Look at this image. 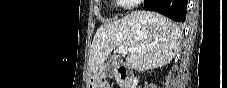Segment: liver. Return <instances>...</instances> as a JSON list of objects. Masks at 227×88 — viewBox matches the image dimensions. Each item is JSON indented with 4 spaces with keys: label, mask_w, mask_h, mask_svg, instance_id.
<instances>
[{
    "label": "liver",
    "mask_w": 227,
    "mask_h": 88,
    "mask_svg": "<svg viewBox=\"0 0 227 88\" xmlns=\"http://www.w3.org/2000/svg\"><path fill=\"white\" fill-rule=\"evenodd\" d=\"M182 39L181 27L167 17L135 11L102 25L90 46L89 66L103 65L116 47H127V63L136 71L162 67L172 61Z\"/></svg>",
    "instance_id": "1"
}]
</instances>
